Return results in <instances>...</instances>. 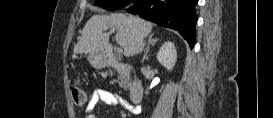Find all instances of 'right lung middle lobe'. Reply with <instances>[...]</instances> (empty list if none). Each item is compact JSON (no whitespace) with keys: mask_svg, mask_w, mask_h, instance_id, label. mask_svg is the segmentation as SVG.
<instances>
[{"mask_svg":"<svg viewBox=\"0 0 273 118\" xmlns=\"http://www.w3.org/2000/svg\"><path fill=\"white\" fill-rule=\"evenodd\" d=\"M131 2H133V0H95V5L113 11L121 9Z\"/></svg>","mask_w":273,"mask_h":118,"instance_id":"right-lung-middle-lobe-1","label":"right lung middle lobe"}]
</instances>
